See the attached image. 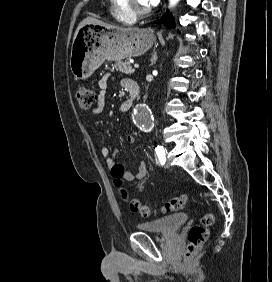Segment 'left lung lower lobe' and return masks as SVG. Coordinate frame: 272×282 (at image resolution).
<instances>
[{"label":"left lung lower lobe","mask_w":272,"mask_h":282,"mask_svg":"<svg viewBox=\"0 0 272 282\" xmlns=\"http://www.w3.org/2000/svg\"><path fill=\"white\" fill-rule=\"evenodd\" d=\"M157 23H162L167 27H174L173 18L168 11L162 16L161 21H158Z\"/></svg>","instance_id":"0a47b994"}]
</instances>
